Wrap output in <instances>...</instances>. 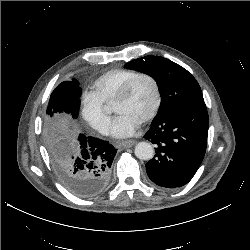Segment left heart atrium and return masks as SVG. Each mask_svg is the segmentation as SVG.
Wrapping results in <instances>:
<instances>
[{"label": "left heart atrium", "instance_id": "39dd6f15", "mask_svg": "<svg viewBox=\"0 0 250 250\" xmlns=\"http://www.w3.org/2000/svg\"><path fill=\"white\" fill-rule=\"evenodd\" d=\"M139 122L127 114H119L113 122L111 134L115 137H127L133 135L139 127Z\"/></svg>", "mask_w": 250, "mask_h": 250}]
</instances>
